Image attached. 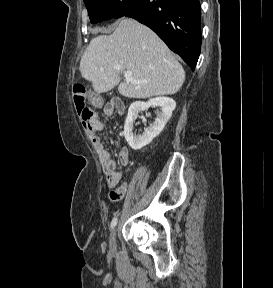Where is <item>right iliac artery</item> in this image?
<instances>
[{
    "label": "right iliac artery",
    "mask_w": 273,
    "mask_h": 288,
    "mask_svg": "<svg viewBox=\"0 0 273 288\" xmlns=\"http://www.w3.org/2000/svg\"><path fill=\"white\" fill-rule=\"evenodd\" d=\"M117 221H118L117 217L113 218V220L111 222V228H114L116 226Z\"/></svg>",
    "instance_id": "1"
}]
</instances>
